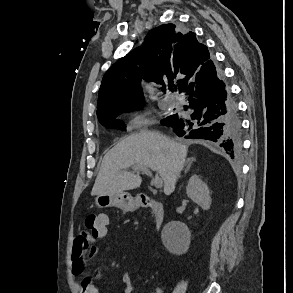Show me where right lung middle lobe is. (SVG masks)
Instances as JSON below:
<instances>
[{"mask_svg":"<svg viewBox=\"0 0 293 293\" xmlns=\"http://www.w3.org/2000/svg\"><path fill=\"white\" fill-rule=\"evenodd\" d=\"M118 113L119 112H110L104 116L98 117L99 122L107 128H121L122 130H124V123L115 119Z\"/></svg>","mask_w":293,"mask_h":293,"instance_id":"obj_1","label":"right lung middle lobe"}]
</instances>
